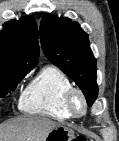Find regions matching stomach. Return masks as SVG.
<instances>
[{
    "instance_id": "0dacf381",
    "label": "stomach",
    "mask_w": 119,
    "mask_h": 141,
    "mask_svg": "<svg viewBox=\"0 0 119 141\" xmlns=\"http://www.w3.org/2000/svg\"><path fill=\"white\" fill-rule=\"evenodd\" d=\"M74 139V131L65 125H60L50 131L44 141H73Z\"/></svg>"
}]
</instances>
